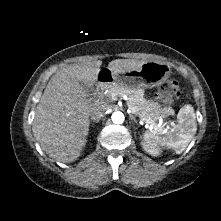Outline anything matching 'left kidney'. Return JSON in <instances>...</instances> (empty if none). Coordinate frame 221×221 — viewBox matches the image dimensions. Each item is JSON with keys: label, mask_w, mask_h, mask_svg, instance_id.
Listing matches in <instances>:
<instances>
[{"label": "left kidney", "mask_w": 221, "mask_h": 221, "mask_svg": "<svg viewBox=\"0 0 221 221\" xmlns=\"http://www.w3.org/2000/svg\"><path fill=\"white\" fill-rule=\"evenodd\" d=\"M143 149L152 156H158L160 154V148L152 145L148 142H142Z\"/></svg>", "instance_id": "obj_1"}]
</instances>
